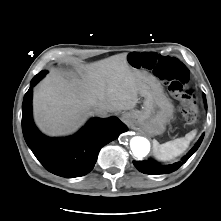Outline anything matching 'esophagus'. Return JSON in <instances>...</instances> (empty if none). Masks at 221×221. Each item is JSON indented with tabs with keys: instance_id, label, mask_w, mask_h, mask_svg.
Here are the masks:
<instances>
[{
	"instance_id": "obj_1",
	"label": "esophagus",
	"mask_w": 221,
	"mask_h": 221,
	"mask_svg": "<svg viewBox=\"0 0 221 221\" xmlns=\"http://www.w3.org/2000/svg\"><path fill=\"white\" fill-rule=\"evenodd\" d=\"M122 120H123L124 122H128V119H127L125 116H122Z\"/></svg>"
}]
</instances>
